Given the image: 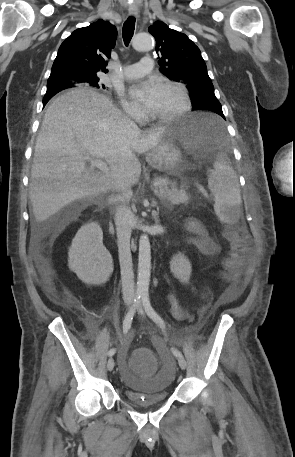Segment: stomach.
I'll return each instance as SVG.
<instances>
[{"instance_id": "obj_1", "label": "stomach", "mask_w": 295, "mask_h": 457, "mask_svg": "<svg viewBox=\"0 0 295 457\" xmlns=\"http://www.w3.org/2000/svg\"><path fill=\"white\" fill-rule=\"evenodd\" d=\"M211 139L206 122L199 115H192L169 124L155 148L146 156L148 164L159 171L178 174L182 170L180 147L196 149Z\"/></svg>"}]
</instances>
